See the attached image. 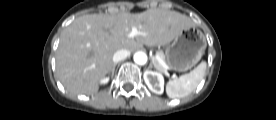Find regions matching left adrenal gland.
I'll return each mask as SVG.
<instances>
[{"instance_id": "1", "label": "left adrenal gland", "mask_w": 276, "mask_h": 120, "mask_svg": "<svg viewBox=\"0 0 276 120\" xmlns=\"http://www.w3.org/2000/svg\"><path fill=\"white\" fill-rule=\"evenodd\" d=\"M154 64V60L152 59L149 68H152V65Z\"/></svg>"}]
</instances>
